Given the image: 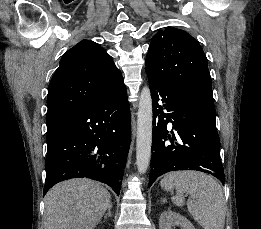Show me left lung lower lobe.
I'll use <instances>...</instances> for the list:
<instances>
[{"label":"left lung lower lobe","mask_w":261,"mask_h":229,"mask_svg":"<svg viewBox=\"0 0 261 229\" xmlns=\"http://www.w3.org/2000/svg\"><path fill=\"white\" fill-rule=\"evenodd\" d=\"M148 79L154 113L149 187L157 177L177 170L205 172L224 183L212 93L150 75Z\"/></svg>","instance_id":"obj_1"}]
</instances>
